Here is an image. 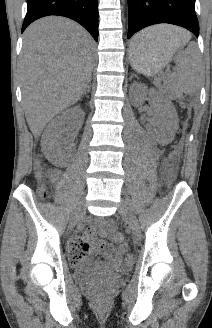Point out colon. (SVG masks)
<instances>
[{
  "instance_id": "obj_1",
  "label": "colon",
  "mask_w": 212,
  "mask_h": 328,
  "mask_svg": "<svg viewBox=\"0 0 212 328\" xmlns=\"http://www.w3.org/2000/svg\"><path fill=\"white\" fill-rule=\"evenodd\" d=\"M176 170H177V161L175 158H172L170 163H169V173L171 177H174L176 174ZM44 167L41 163H38L36 166V170H35V174L36 177L41 181L44 178ZM40 194L43 197L47 196V191L45 188H42L40 191ZM110 238L113 242H115L116 244H118V252L119 253H125L128 249V246L125 242H123V236L119 233V232H111L110 234ZM71 260L73 262H75L74 258H71ZM126 261L127 263H131L133 261V257L131 255H128L126 257ZM98 297L101 298L103 297V293H99Z\"/></svg>"
}]
</instances>
